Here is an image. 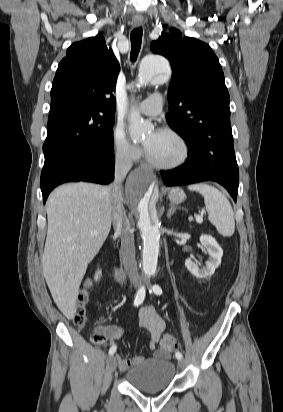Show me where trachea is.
I'll return each mask as SVG.
<instances>
[{"instance_id": "obj_1", "label": "trachea", "mask_w": 283, "mask_h": 412, "mask_svg": "<svg viewBox=\"0 0 283 412\" xmlns=\"http://www.w3.org/2000/svg\"><path fill=\"white\" fill-rule=\"evenodd\" d=\"M142 33H143V31H142L141 27L136 28L131 32V55H130V58H131L132 62H135L137 57H138V54H139V51H140V48H141V43H142Z\"/></svg>"}]
</instances>
